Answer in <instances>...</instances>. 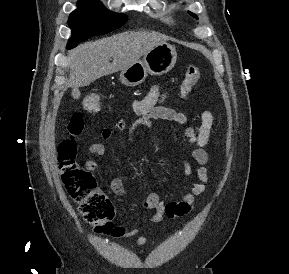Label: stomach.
Listing matches in <instances>:
<instances>
[{
    "label": "stomach",
    "instance_id": "0dacf381",
    "mask_svg": "<svg viewBox=\"0 0 289 274\" xmlns=\"http://www.w3.org/2000/svg\"><path fill=\"white\" fill-rule=\"evenodd\" d=\"M176 61L175 47L167 42L160 43L144 54L142 60L122 70L120 81L129 87L137 86L146 79L148 74L160 76L168 73Z\"/></svg>",
    "mask_w": 289,
    "mask_h": 274
}]
</instances>
